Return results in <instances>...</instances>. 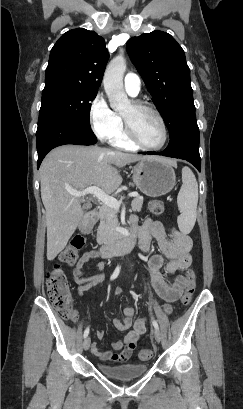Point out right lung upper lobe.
Segmentation results:
<instances>
[{
  "mask_svg": "<svg viewBox=\"0 0 243 409\" xmlns=\"http://www.w3.org/2000/svg\"><path fill=\"white\" fill-rule=\"evenodd\" d=\"M108 58L101 36L83 28L70 30L51 49L45 81H65L98 90Z\"/></svg>",
  "mask_w": 243,
  "mask_h": 409,
  "instance_id": "right-lung-upper-lobe-1",
  "label": "right lung upper lobe"
}]
</instances>
